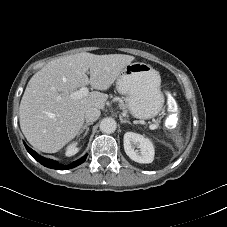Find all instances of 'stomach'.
<instances>
[{"label": "stomach", "mask_w": 227, "mask_h": 227, "mask_svg": "<svg viewBox=\"0 0 227 227\" xmlns=\"http://www.w3.org/2000/svg\"><path fill=\"white\" fill-rule=\"evenodd\" d=\"M158 71L143 62L129 63L116 79L117 91L125 96L130 114L137 119L157 116L164 105Z\"/></svg>", "instance_id": "1"}]
</instances>
